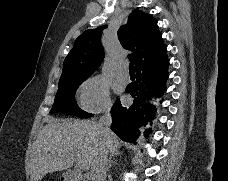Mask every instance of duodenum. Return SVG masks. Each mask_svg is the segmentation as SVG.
<instances>
[{
  "instance_id": "410a0bca",
  "label": "duodenum",
  "mask_w": 228,
  "mask_h": 181,
  "mask_svg": "<svg viewBox=\"0 0 228 181\" xmlns=\"http://www.w3.org/2000/svg\"><path fill=\"white\" fill-rule=\"evenodd\" d=\"M64 177L62 181H83L82 178H78L77 172H68Z\"/></svg>"
}]
</instances>
